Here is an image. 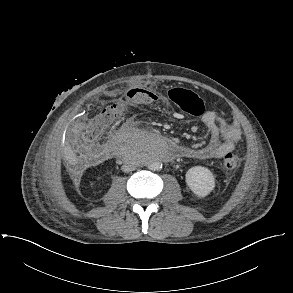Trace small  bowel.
<instances>
[{"label": "small bowel", "mask_w": 293, "mask_h": 293, "mask_svg": "<svg viewBox=\"0 0 293 293\" xmlns=\"http://www.w3.org/2000/svg\"><path fill=\"white\" fill-rule=\"evenodd\" d=\"M155 101L152 93V102ZM201 116V120L209 133L208 143L203 147H183L180 156L189 159L209 160L223 157L227 151L236 148L242 138V132L238 125L217 120L211 112L205 111L203 101L199 98L194 113ZM194 130H196L194 128Z\"/></svg>", "instance_id": "small-bowel-1"}]
</instances>
